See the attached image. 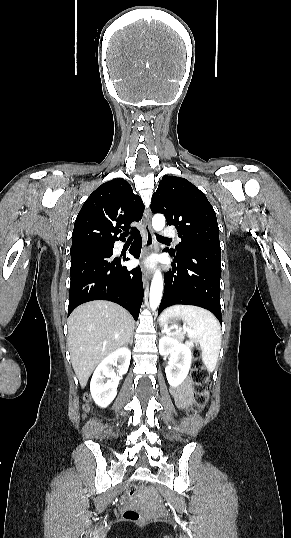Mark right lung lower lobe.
<instances>
[{"label":"right lung lower lobe","instance_id":"98d812e1","mask_svg":"<svg viewBox=\"0 0 291 538\" xmlns=\"http://www.w3.org/2000/svg\"><path fill=\"white\" fill-rule=\"evenodd\" d=\"M141 246L136 231L129 252L139 258ZM126 260L129 258L113 257V250L71 258L68 315L82 303L108 300L123 306L137 320L144 295L141 269L122 267L121 261Z\"/></svg>","mask_w":291,"mask_h":538}]
</instances>
